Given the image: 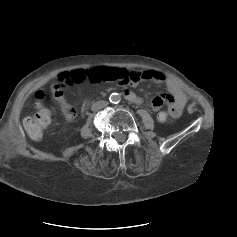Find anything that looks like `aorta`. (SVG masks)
<instances>
[{"label":"aorta","instance_id":"762f6f07","mask_svg":"<svg viewBox=\"0 0 237 237\" xmlns=\"http://www.w3.org/2000/svg\"><path fill=\"white\" fill-rule=\"evenodd\" d=\"M109 100H110L111 103L117 104V103L120 102L121 96L118 93H112L109 97Z\"/></svg>","mask_w":237,"mask_h":237}]
</instances>
